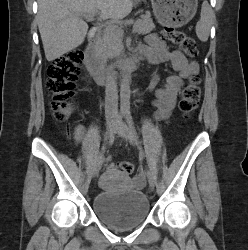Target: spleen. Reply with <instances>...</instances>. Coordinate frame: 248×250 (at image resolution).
<instances>
[{"instance_id": "obj_1", "label": "spleen", "mask_w": 248, "mask_h": 250, "mask_svg": "<svg viewBox=\"0 0 248 250\" xmlns=\"http://www.w3.org/2000/svg\"><path fill=\"white\" fill-rule=\"evenodd\" d=\"M200 15L201 17H200V20L196 24L195 31H196L197 37L202 42H206L209 37L211 22H212V17H213V11L206 0L202 4Z\"/></svg>"}]
</instances>
